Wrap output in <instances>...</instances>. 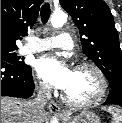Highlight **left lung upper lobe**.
I'll list each match as a JSON object with an SVG mask.
<instances>
[{"instance_id": "5c2ea615", "label": "left lung upper lobe", "mask_w": 122, "mask_h": 123, "mask_svg": "<svg viewBox=\"0 0 122 123\" xmlns=\"http://www.w3.org/2000/svg\"><path fill=\"white\" fill-rule=\"evenodd\" d=\"M80 33L83 52L114 87L122 83V51L114 19L103 0H60Z\"/></svg>"}]
</instances>
